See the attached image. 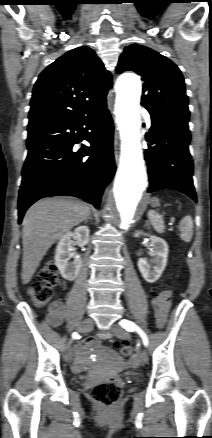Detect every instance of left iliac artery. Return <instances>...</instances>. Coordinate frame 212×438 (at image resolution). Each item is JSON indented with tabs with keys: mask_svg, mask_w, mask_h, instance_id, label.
<instances>
[{
	"mask_svg": "<svg viewBox=\"0 0 212 438\" xmlns=\"http://www.w3.org/2000/svg\"><path fill=\"white\" fill-rule=\"evenodd\" d=\"M121 327L126 329L127 331L133 332L136 331L141 336L144 346H148V337L145 334V332L139 328L134 322L129 320H121L120 322Z\"/></svg>",
	"mask_w": 212,
	"mask_h": 438,
	"instance_id": "1",
	"label": "left iliac artery"
}]
</instances>
